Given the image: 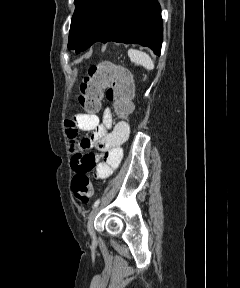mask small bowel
<instances>
[{
  "label": "small bowel",
  "instance_id": "small-bowel-1",
  "mask_svg": "<svg viewBox=\"0 0 240 288\" xmlns=\"http://www.w3.org/2000/svg\"><path fill=\"white\" fill-rule=\"evenodd\" d=\"M69 138L71 167L76 174L93 172L96 179L109 177L123 158L121 145L128 139L129 124L120 121L113 126L111 110L106 108L102 119L96 114H76L65 121ZM81 131L91 132L86 138H79ZM96 148L100 154L85 150Z\"/></svg>",
  "mask_w": 240,
  "mask_h": 288
}]
</instances>
